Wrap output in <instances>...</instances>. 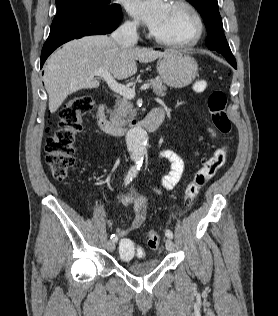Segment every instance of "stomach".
<instances>
[{"mask_svg":"<svg viewBox=\"0 0 278 316\" xmlns=\"http://www.w3.org/2000/svg\"><path fill=\"white\" fill-rule=\"evenodd\" d=\"M157 71L162 81L173 88L188 86L196 77V60L183 51H170L157 62Z\"/></svg>","mask_w":278,"mask_h":316,"instance_id":"0dacf381","label":"stomach"}]
</instances>
